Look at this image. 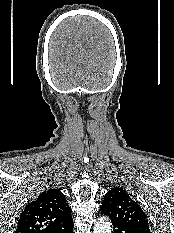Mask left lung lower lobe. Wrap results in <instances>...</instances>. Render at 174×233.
I'll return each instance as SVG.
<instances>
[{"instance_id": "obj_1", "label": "left lung lower lobe", "mask_w": 174, "mask_h": 233, "mask_svg": "<svg viewBox=\"0 0 174 233\" xmlns=\"http://www.w3.org/2000/svg\"><path fill=\"white\" fill-rule=\"evenodd\" d=\"M112 225H113L112 233H145L144 231H140L135 228L117 222H112Z\"/></svg>"}]
</instances>
